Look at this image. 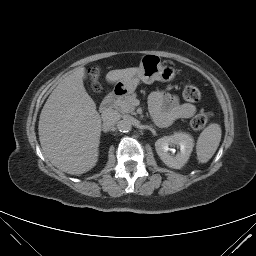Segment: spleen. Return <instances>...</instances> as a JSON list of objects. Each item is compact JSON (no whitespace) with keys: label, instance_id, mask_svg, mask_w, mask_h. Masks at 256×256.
Segmentation results:
<instances>
[{"label":"spleen","instance_id":"spleen-1","mask_svg":"<svg viewBox=\"0 0 256 256\" xmlns=\"http://www.w3.org/2000/svg\"><path fill=\"white\" fill-rule=\"evenodd\" d=\"M222 130L219 124H209L197 140L196 152L200 163L208 162L216 152L221 141Z\"/></svg>","mask_w":256,"mask_h":256}]
</instances>
